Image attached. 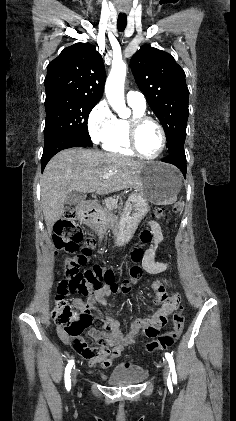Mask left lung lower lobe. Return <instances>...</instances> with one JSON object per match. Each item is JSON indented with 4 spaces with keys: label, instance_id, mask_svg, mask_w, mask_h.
I'll use <instances>...</instances> for the list:
<instances>
[{
    "label": "left lung lower lobe",
    "instance_id": "1",
    "mask_svg": "<svg viewBox=\"0 0 236 421\" xmlns=\"http://www.w3.org/2000/svg\"><path fill=\"white\" fill-rule=\"evenodd\" d=\"M162 161L177 166L186 178L187 168L184 149H179L168 153V155L164 159H162Z\"/></svg>",
    "mask_w": 236,
    "mask_h": 421
}]
</instances>
